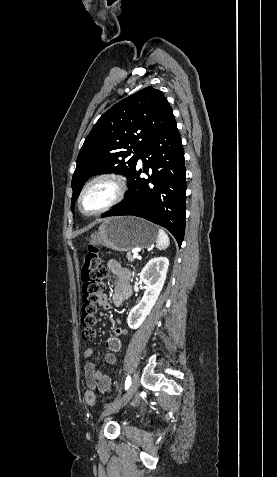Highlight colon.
Wrapping results in <instances>:
<instances>
[{
  "mask_svg": "<svg viewBox=\"0 0 277 477\" xmlns=\"http://www.w3.org/2000/svg\"><path fill=\"white\" fill-rule=\"evenodd\" d=\"M107 275L108 269L103 265L98 249L92 245H87L81 266L83 302L81 323L84 327L82 337L86 341L95 337V314L103 296L104 280ZM85 401L90 406L95 404L96 395L92 390L86 391Z\"/></svg>",
  "mask_w": 277,
  "mask_h": 477,
  "instance_id": "1",
  "label": "colon"
}]
</instances>
